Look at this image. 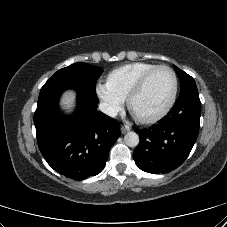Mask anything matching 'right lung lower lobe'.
<instances>
[{
  "mask_svg": "<svg viewBox=\"0 0 227 227\" xmlns=\"http://www.w3.org/2000/svg\"><path fill=\"white\" fill-rule=\"evenodd\" d=\"M68 88L78 94L71 117L59 111L60 96ZM97 104L96 96L66 83L43 86L40 91L34 113L38 146L51 168L68 178L83 180L100 173L120 136L119 123L97 111Z\"/></svg>",
  "mask_w": 227,
  "mask_h": 227,
  "instance_id": "obj_1",
  "label": "right lung lower lobe"
}]
</instances>
